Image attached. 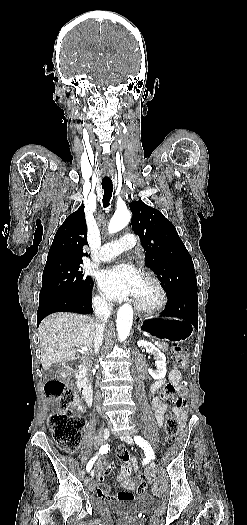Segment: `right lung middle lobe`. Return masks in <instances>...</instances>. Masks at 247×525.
<instances>
[{
	"mask_svg": "<svg viewBox=\"0 0 247 525\" xmlns=\"http://www.w3.org/2000/svg\"><path fill=\"white\" fill-rule=\"evenodd\" d=\"M91 284V277H85L80 266L44 271L39 302L53 297L82 296Z\"/></svg>",
	"mask_w": 247,
	"mask_h": 525,
	"instance_id": "obj_1",
	"label": "right lung middle lobe"
}]
</instances>
